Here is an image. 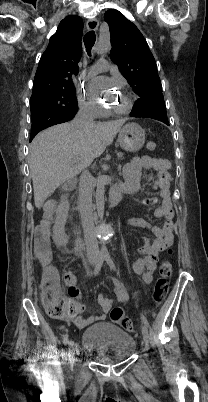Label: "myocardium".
Instances as JSON below:
<instances>
[{
    "instance_id": "f54148a6",
    "label": "myocardium",
    "mask_w": 208,
    "mask_h": 402,
    "mask_svg": "<svg viewBox=\"0 0 208 402\" xmlns=\"http://www.w3.org/2000/svg\"><path fill=\"white\" fill-rule=\"evenodd\" d=\"M123 93L127 97L126 103L123 106H115V105L107 106V108L110 111L117 114H128L133 110L136 101L135 96L132 94V92L128 90H125Z\"/></svg>"
}]
</instances>
